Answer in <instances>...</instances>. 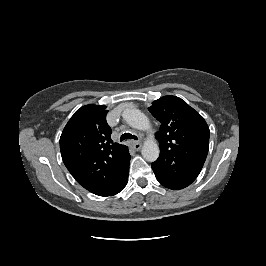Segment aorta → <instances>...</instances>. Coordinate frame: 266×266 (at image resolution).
<instances>
[{
    "mask_svg": "<svg viewBox=\"0 0 266 266\" xmlns=\"http://www.w3.org/2000/svg\"><path fill=\"white\" fill-rule=\"evenodd\" d=\"M123 118L133 128L146 131L150 128L147 116L138 109H126ZM159 146L152 138L147 139L142 147V156L148 162H154L159 157Z\"/></svg>",
    "mask_w": 266,
    "mask_h": 266,
    "instance_id": "1",
    "label": "aorta"
}]
</instances>
